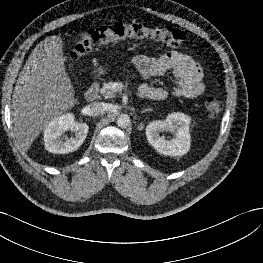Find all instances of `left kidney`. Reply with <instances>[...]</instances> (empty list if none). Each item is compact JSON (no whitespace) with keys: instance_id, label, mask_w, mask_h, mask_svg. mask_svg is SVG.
Segmentation results:
<instances>
[{"instance_id":"1","label":"left kidney","mask_w":263,"mask_h":263,"mask_svg":"<svg viewBox=\"0 0 263 263\" xmlns=\"http://www.w3.org/2000/svg\"><path fill=\"white\" fill-rule=\"evenodd\" d=\"M190 118L182 113H172L165 120L150 122L146 127L148 142L161 154L168 156H181L190 149ZM174 130L176 137L167 141L160 136L161 131Z\"/></svg>"}]
</instances>
